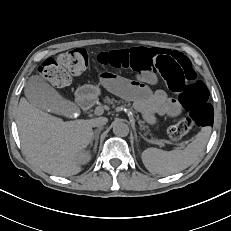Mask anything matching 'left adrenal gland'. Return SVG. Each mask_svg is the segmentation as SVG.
Listing matches in <instances>:
<instances>
[{"label": "left adrenal gland", "mask_w": 231, "mask_h": 231, "mask_svg": "<svg viewBox=\"0 0 231 231\" xmlns=\"http://www.w3.org/2000/svg\"><path fill=\"white\" fill-rule=\"evenodd\" d=\"M136 141H138L137 135H136Z\"/></svg>", "instance_id": "obj_1"}]
</instances>
